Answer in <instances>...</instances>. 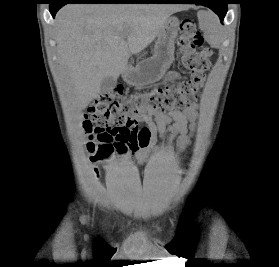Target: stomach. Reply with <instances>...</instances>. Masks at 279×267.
Returning <instances> with one entry per match:
<instances>
[{
	"instance_id": "1",
	"label": "stomach",
	"mask_w": 279,
	"mask_h": 267,
	"mask_svg": "<svg viewBox=\"0 0 279 267\" xmlns=\"http://www.w3.org/2000/svg\"><path fill=\"white\" fill-rule=\"evenodd\" d=\"M180 22L177 17H169L163 25L151 58L136 66H127L122 72L123 80L131 86L143 87L161 80L174 61L175 39Z\"/></svg>"
}]
</instances>
